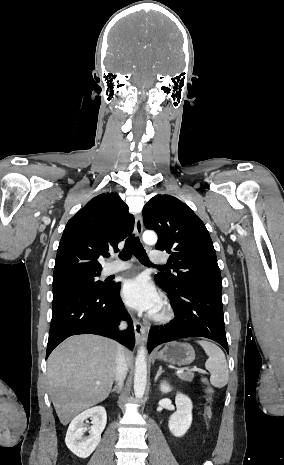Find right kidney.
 <instances>
[{"label": "right kidney", "instance_id": "ca27d5eb", "mask_svg": "<svg viewBox=\"0 0 284 465\" xmlns=\"http://www.w3.org/2000/svg\"><path fill=\"white\" fill-rule=\"evenodd\" d=\"M86 419H92L89 437H83L85 433L83 427ZM106 421L107 415L104 407H93V409H87V411L77 415L68 427L65 439L68 449L81 459L89 457L100 443L101 433L105 429Z\"/></svg>", "mask_w": 284, "mask_h": 465}]
</instances>
